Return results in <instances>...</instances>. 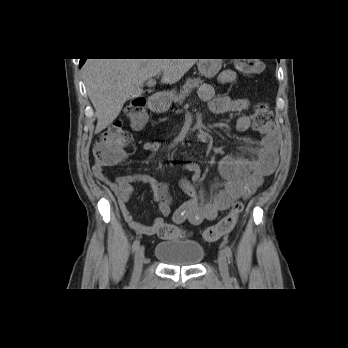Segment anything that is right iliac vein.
Masks as SVG:
<instances>
[{"label":"right iliac vein","mask_w":348,"mask_h":348,"mask_svg":"<svg viewBox=\"0 0 348 348\" xmlns=\"http://www.w3.org/2000/svg\"><path fill=\"white\" fill-rule=\"evenodd\" d=\"M143 261H144V248L140 247L136 251L135 259H134L133 279L135 281H138L141 276Z\"/></svg>","instance_id":"1"}]
</instances>
